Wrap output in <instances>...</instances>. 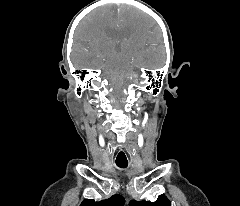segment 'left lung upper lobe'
<instances>
[{"label": "left lung upper lobe", "instance_id": "5c2ea615", "mask_svg": "<svg viewBox=\"0 0 240 206\" xmlns=\"http://www.w3.org/2000/svg\"><path fill=\"white\" fill-rule=\"evenodd\" d=\"M130 206H171V203L166 196L160 195L155 202L132 200Z\"/></svg>", "mask_w": 240, "mask_h": 206}]
</instances>
